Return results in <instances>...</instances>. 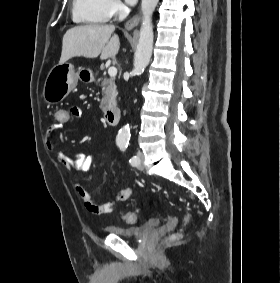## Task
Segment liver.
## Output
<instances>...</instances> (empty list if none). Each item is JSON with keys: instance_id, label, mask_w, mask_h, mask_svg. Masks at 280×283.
Masks as SVG:
<instances>
[{"instance_id": "obj_1", "label": "liver", "mask_w": 280, "mask_h": 283, "mask_svg": "<svg viewBox=\"0 0 280 283\" xmlns=\"http://www.w3.org/2000/svg\"><path fill=\"white\" fill-rule=\"evenodd\" d=\"M115 26L107 24L81 25L69 29L63 36L59 64L73 57L115 58L120 49V40L114 34Z\"/></svg>"}]
</instances>
